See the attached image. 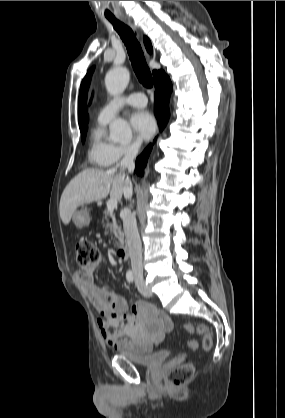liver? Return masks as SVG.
Masks as SVG:
<instances>
[{
    "instance_id": "6515ba94",
    "label": "liver",
    "mask_w": 285,
    "mask_h": 418,
    "mask_svg": "<svg viewBox=\"0 0 285 418\" xmlns=\"http://www.w3.org/2000/svg\"><path fill=\"white\" fill-rule=\"evenodd\" d=\"M125 177L115 169H85L77 174L64 189L59 205L62 222L68 225L76 209L84 204L104 199L121 200L124 193Z\"/></svg>"
}]
</instances>
